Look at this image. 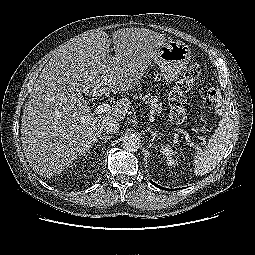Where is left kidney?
I'll list each match as a JSON object with an SVG mask.
<instances>
[{"instance_id":"5707ae66","label":"left kidney","mask_w":255,"mask_h":255,"mask_svg":"<svg viewBox=\"0 0 255 255\" xmlns=\"http://www.w3.org/2000/svg\"><path fill=\"white\" fill-rule=\"evenodd\" d=\"M161 153L166 158L168 166L174 167L177 164V160L173 157L174 150L170 146H162Z\"/></svg>"}]
</instances>
